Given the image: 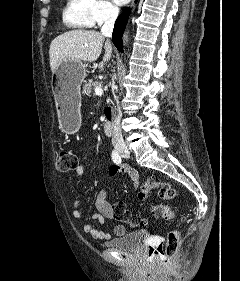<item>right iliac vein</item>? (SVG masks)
Segmentation results:
<instances>
[{"mask_svg":"<svg viewBox=\"0 0 240 281\" xmlns=\"http://www.w3.org/2000/svg\"><path fill=\"white\" fill-rule=\"evenodd\" d=\"M117 151L118 153H120L121 155H129V150L127 147L125 146H119L117 147Z\"/></svg>","mask_w":240,"mask_h":281,"instance_id":"63e3f726","label":"right iliac vein"}]
</instances>
